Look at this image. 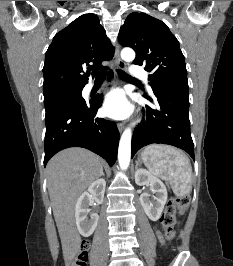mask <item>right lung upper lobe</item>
<instances>
[{"label": "right lung upper lobe", "mask_w": 233, "mask_h": 266, "mask_svg": "<svg viewBox=\"0 0 233 266\" xmlns=\"http://www.w3.org/2000/svg\"><path fill=\"white\" fill-rule=\"evenodd\" d=\"M114 48L94 14H84L58 32L50 44L43 67V92L80 89L88 83L89 70L103 68Z\"/></svg>", "instance_id": "obj_1"}]
</instances>
